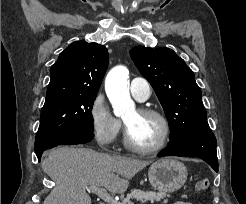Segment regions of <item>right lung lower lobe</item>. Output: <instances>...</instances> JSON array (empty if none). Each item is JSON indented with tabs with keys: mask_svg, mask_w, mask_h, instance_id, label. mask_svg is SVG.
<instances>
[{
	"mask_svg": "<svg viewBox=\"0 0 246 204\" xmlns=\"http://www.w3.org/2000/svg\"><path fill=\"white\" fill-rule=\"evenodd\" d=\"M94 137L93 132L90 131H78L73 136L65 139L60 143V145H74L90 142ZM45 150H40L36 152L37 158L40 161L41 155Z\"/></svg>",
	"mask_w": 246,
	"mask_h": 204,
	"instance_id": "right-lung-lower-lobe-1",
	"label": "right lung lower lobe"
}]
</instances>
